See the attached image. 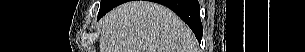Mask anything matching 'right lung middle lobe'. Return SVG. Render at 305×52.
Wrapping results in <instances>:
<instances>
[{
	"instance_id": "obj_1",
	"label": "right lung middle lobe",
	"mask_w": 305,
	"mask_h": 52,
	"mask_svg": "<svg viewBox=\"0 0 305 52\" xmlns=\"http://www.w3.org/2000/svg\"><path fill=\"white\" fill-rule=\"evenodd\" d=\"M109 1L108 0H101L100 9L103 8Z\"/></svg>"
}]
</instances>
